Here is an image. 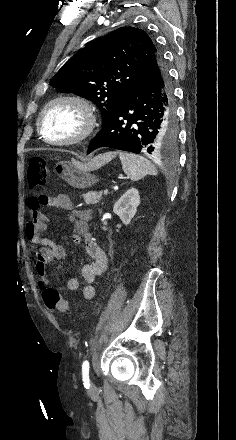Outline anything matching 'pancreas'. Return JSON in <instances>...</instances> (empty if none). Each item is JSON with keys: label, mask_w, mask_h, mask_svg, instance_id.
<instances>
[{"label": "pancreas", "mask_w": 236, "mask_h": 440, "mask_svg": "<svg viewBox=\"0 0 236 440\" xmlns=\"http://www.w3.org/2000/svg\"><path fill=\"white\" fill-rule=\"evenodd\" d=\"M101 197H102V193L97 191H90L88 193L83 194L84 201L87 205L99 203Z\"/></svg>", "instance_id": "1"}]
</instances>
